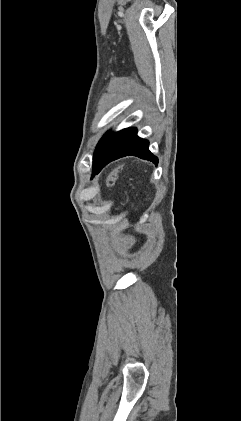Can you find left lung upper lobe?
Listing matches in <instances>:
<instances>
[{"label": "left lung upper lobe", "instance_id": "1", "mask_svg": "<svg viewBox=\"0 0 241 421\" xmlns=\"http://www.w3.org/2000/svg\"><path fill=\"white\" fill-rule=\"evenodd\" d=\"M109 136H110V132H107L104 136H103V138L100 140V142L98 143V145H97V147H96V151H95V153H94V162L99 158V156L101 155V153H102V151H103V149H104V147H105V145H106V143H107V141H108V138H109ZM93 162V163H94Z\"/></svg>", "mask_w": 241, "mask_h": 421}]
</instances>
